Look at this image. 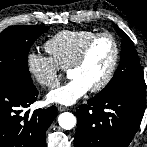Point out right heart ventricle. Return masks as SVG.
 Masks as SVG:
<instances>
[{
	"instance_id": "right-heart-ventricle-1",
	"label": "right heart ventricle",
	"mask_w": 147,
	"mask_h": 147,
	"mask_svg": "<svg viewBox=\"0 0 147 147\" xmlns=\"http://www.w3.org/2000/svg\"><path fill=\"white\" fill-rule=\"evenodd\" d=\"M96 32L92 30H64L56 33L44 44L46 52L60 69H67L83 45Z\"/></svg>"
}]
</instances>
